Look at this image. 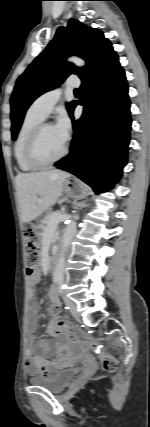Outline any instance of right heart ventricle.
<instances>
[{"instance_id":"obj_1","label":"right heart ventricle","mask_w":150,"mask_h":427,"mask_svg":"<svg viewBox=\"0 0 150 427\" xmlns=\"http://www.w3.org/2000/svg\"><path fill=\"white\" fill-rule=\"evenodd\" d=\"M44 118L35 113L31 108L26 112L23 121L19 127L17 137L14 143V156L20 170L30 172L36 168L30 165L26 159L25 151L28 138L33 129L40 124Z\"/></svg>"}]
</instances>
